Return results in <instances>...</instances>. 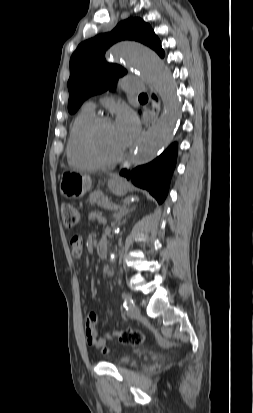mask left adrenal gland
Listing matches in <instances>:
<instances>
[{
    "label": "left adrenal gland",
    "mask_w": 253,
    "mask_h": 413,
    "mask_svg": "<svg viewBox=\"0 0 253 413\" xmlns=\"http://www.w3.org/2000/svg\"><path fill=\"white\" fill-rule=\"evenodd\" d=\"M129 202L128 203H125L123 206H121L120 208H119V210L115 213V215H114V217H115V220L116 221H120L124 216H126L127 214H129L132 210H133V208L132 209H129V208H127V205L129 206Z\"/></svg>",
    "instance_id": "1"
}]
</instances>
